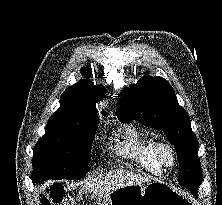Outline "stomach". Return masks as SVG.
<instances>
[{
    "label": "stomach",
    "instance_id": "stomach-1",
    "mask_svg": "<svg viewBox=\"0 0 222 205\" xmlns=\"http://www.w3.org/2000/svg\"><path fill=\"white\" fill-rule=\"evenodd\" d=\"M96 205H195L172 186L151 181L147 185H126L99 196Z\"/></svg>",
    "mask_w": 222,
    "mask_h": 205
}]
</instances>
